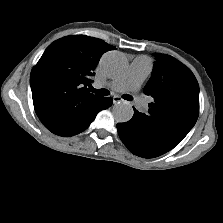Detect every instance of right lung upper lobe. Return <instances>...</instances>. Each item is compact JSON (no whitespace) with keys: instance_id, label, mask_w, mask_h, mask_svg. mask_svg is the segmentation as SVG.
Segmentation results:
<instances>
[{"instance_id":"right-lung-upper-lobe-1","label":"right lung upper lobe","mask_w":223,"mask_h":223,"mask_svg":"<svg viewBox=\"0 0 223 223\" xmlns=\"http://www.w3.org/2000/svg\"><path fill=\"white\" fill-rule=\"evenodd\" d=\"M114 49L85 35L54 41L33 68L30 77L33 103L50 131H72L93 115L101 96L90 93L89 77L100 57Z\"/></svg>"}]
</instances>
